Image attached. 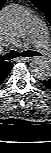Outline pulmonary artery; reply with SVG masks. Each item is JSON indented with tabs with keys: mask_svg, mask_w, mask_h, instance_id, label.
Returning <instances> with one entry per match:
<instances>
[{
	"mask_svg": "<svg viewBox=\"0 0 51 153\" xmlns=\"http://www.w3.org/2000/svg\"><path fill=\"white\" fill-rule=\"evenodd\" d=\"M28 37L36 42L37 47L40 51L47 52L49 50L50 44L47 39V35L42 22L36 21L35 23H33Z\"/></svg>",
	"mask_w": 51,
	"mask_h": 153,
	"instance_id": "e3ab8cb5",
	"label": "pulmonary artery"
}]
</instances>
